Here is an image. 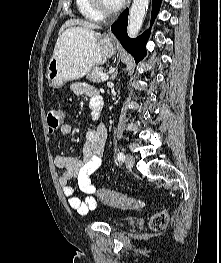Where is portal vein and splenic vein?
Returning <instances> with one entry per match:
<instances>
[{
  "label": "portal vein and splenic vein",
  "instance_id": "portal-vein-and-splenic-vein-1",
  "mask_svg": "<svg viewBox=\"0 0 221 263\" xmlns=\"http://www.w3.org/2000/svg\"><path fill=\"white\" fill-rule=\"evenodd\" d=\"M108 78H109V75L103 74L100 79H101L102 81H106V80H108Z\"/></svg>",
  "mask_w": 221,
  "mask_h": 263
}]
</instances>
